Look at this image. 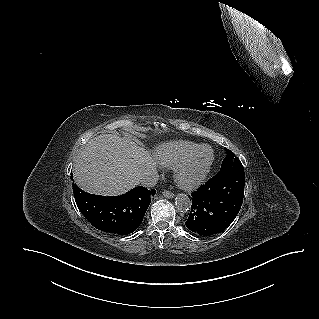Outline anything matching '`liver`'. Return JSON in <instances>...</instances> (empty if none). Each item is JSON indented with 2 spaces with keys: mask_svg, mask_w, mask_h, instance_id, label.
Instances as JSON below:
<instances>
[{
  "mask_svg": "<svg viewBox=\"0 0 319 319\" xmlns=\"http://www.w3.org/2000/svg\"><path fill=\"white\" fill-rule=\"evenodd\" d=\"M151 153L119 134H100L90 139L77 155L73 175L84 191L112 196L140 184V178L154 170Z\"/></svg>",
  "mask_w": 319,
  "mask_h": 319,
  "instance_id": "1",
  "label": "liver"
}]
</instances>
